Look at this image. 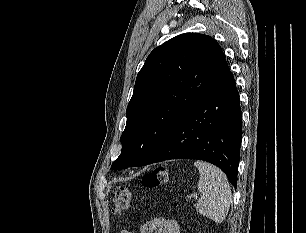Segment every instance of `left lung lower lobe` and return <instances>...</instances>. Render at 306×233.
Segmentation results:
<instances>
[{"label":"left lung lower lobe","mask_w":306,"mask_h":233,"mask_svg":"<svg viewBox=\"0 0 306 233\" xmlns=\"http://www.w3.org/2000/svg\"><path fill=\"white\" fill-rule=\"evenodd\" d=\"M241 138L239 94L226 63L144 165L200 159L221 168L236 188Z\"/></svg>","instance_id":"0a47b994"}]
</instances>
